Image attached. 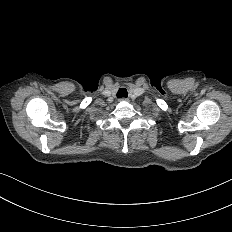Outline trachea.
<instances>
[{"label": "trachea", "mask_w": 232, "mask_h": 232, "mask_svg": "<svg viewBox=\"0 0 232 232\" xmlns=\"http://www.w3.org/2000/svg\"><path fill=\"white\" fill-rule=\"evenodd\" d=\"M128 96V92L126 90V88H120L117 92V97L118 98H123V97H127Z\"/></svg>", "instance_id": "3493384b"}]
</instances>
